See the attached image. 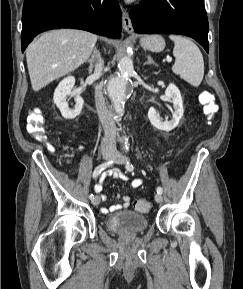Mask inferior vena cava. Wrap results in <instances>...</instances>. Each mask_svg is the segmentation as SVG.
Wrapping results in <instances>:
<instances>
[{
	"label": "inferior vena cava",
	"instance_id": "inferior-vena-cava-1",
	"mask_svg": "<svg viewBox=\"0 0 243 289\" xmlns=\"http://www.w3.org/2000/svg\"><path fill=\"white\" fill-rule=\"evenodd\" d=\"M103 66L104 62L101 57H99L95 66L94 77L98 78L102 75ZM95 103L99 119L104 128V138L101 142V149L103 152L116 153V125L111 112H109L106 107L102 90L99 86L95 87Z\"/></svg>",
	"mask_w": 243,
	"mask_h": 289
}]
</instances>
